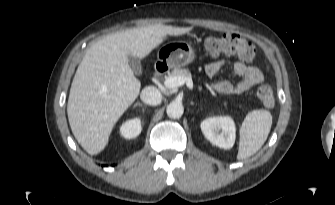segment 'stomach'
I'll return each mask as SVG.
<instances>
[{"label":"stomach","mask_w":335,"mask_h":205,"mask_svg":"<svg viewBox=\"0 0 335 205\" xmlns=\"http://www.w3.org/2000/svg\"><path fill=\"white\" fill-rule=\"evenodd\" d=\"M195 52L186 42L173 41L158 51V60L170 67H183L195 59Z\"/></svg>","instance_id":"0dacf381"}]
</instances>
